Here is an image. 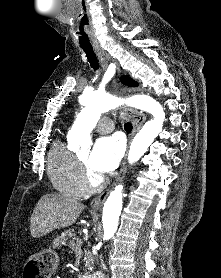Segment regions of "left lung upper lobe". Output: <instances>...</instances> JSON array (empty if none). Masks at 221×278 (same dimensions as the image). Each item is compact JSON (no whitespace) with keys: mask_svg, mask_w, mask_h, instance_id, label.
I'll return each mask as SVG.
<instances>
[{"mask_svg":"<svg viewBox=\"0 0 221 278\" xmlns=\"http://www.w3.org/2000/svg\"><path fill=\"white\" fill-rule=\"evenodd\" d=\"M122 80L129 86H137L138 83L135 81H132L131 79H127L126 77H122Z\"/></svg>","mask_w":221,"mask_h":278,"instance_id":"5c2ea615","label":"left lung upper lobe"}]
</instances>
